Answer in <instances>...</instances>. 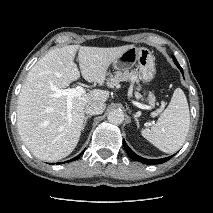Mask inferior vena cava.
Instances as JSON below:
<instances>
[{"instance_id":"inferior-vena-cava-1","label":"inferior vena cava","mask_w":213,"mask_h":213,"mask_svg":"<svg viewBox=\"0 0 213 213\" xmlns=\"http://www.w3.org/2000/svg\"><path fill=\"white\" fill-rule=\"evenodd\" d=\"M106 108V105L103 102H90L85 108L84 112L89 115H98L102 114Z\"/></svg>"}]
</instances>
